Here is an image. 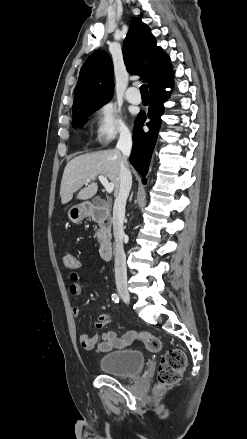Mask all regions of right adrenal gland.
<instances>
[{"mask_svg":"<svg viewBox=\"0 0 247 439\" xmlns=\"http://www.w3.org/2000/svg\"><path fill=\"white\" fill-rule=\"evenodd\" d=\"M132 197H133V192L130 195L129 201H132Z\"/></svg>","mask_w":247,"mask_h":439,"instance_id":"obj_1","label":"right adrenal gland"}]
</instances>
